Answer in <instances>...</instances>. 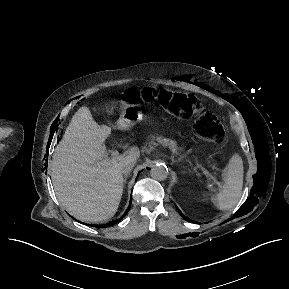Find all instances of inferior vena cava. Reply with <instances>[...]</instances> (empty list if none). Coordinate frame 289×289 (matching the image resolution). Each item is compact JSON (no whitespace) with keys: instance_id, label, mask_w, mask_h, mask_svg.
Returning <instances> with one entry per match:
<instances>
[{"instance_id":"602c4592","label":"inferior vena cava","mask_w":289,"mask_h":289,"mask_svg":"<svg viewBox=\"0 0 289 289\" xmlns=\"http://www.w3.org/2000/svg\"><path fill=\"white\" fill-rule=\"evenodd\" d=\"M136 164V160L135 159H129V160H126L124 162H122L120 164V171L123 173V174H128L131 172V170L133 169V167L135 166Z\"/></svg>"}]
</instances>
